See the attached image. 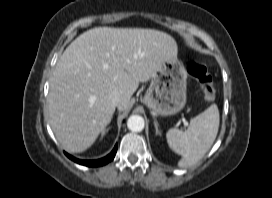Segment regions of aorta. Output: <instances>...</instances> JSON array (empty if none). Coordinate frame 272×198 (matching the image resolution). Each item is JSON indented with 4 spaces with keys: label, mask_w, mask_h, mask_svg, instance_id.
I'll return each instance as SVG.
<instances>
[{
    "label": "aorta",
    "mask_w": 272,
    "mask_h": 198,
    "mask_svg": "<svg viewBox=\"0 0 272 198\" xmlns=\"http://www.w3.org/2000/svg\"><path fill=\"white\" fill-rule=\"evenodd\" d=\"M144 119L139 115H132L128 118L127 127L133 132H141L144 129Z\"/></svg>",
    "instance_id": "aorta-1"
}]
</instances>
